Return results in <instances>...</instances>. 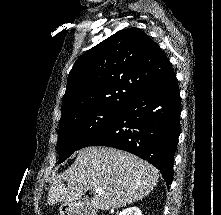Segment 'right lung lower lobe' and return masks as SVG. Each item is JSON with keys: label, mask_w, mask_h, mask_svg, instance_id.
Segmentation results:
<instances>
[{"label": "right lung lower lobe", "mask_w": 221, "mask_h": 215, "mask_svg": "<svg viewBox=\"0 0 221 215\" xmlns=\"http://www.w3.org/2000/svg\"><path fill=\"white\" fill-rule=\"evenodd\" d=\"M180 114V92L173 72L159 86L123 107L114 122L79 149L109 146L131 152L153 164L171 184Z\"/></svg>", "instance_id": "98d812e1"}]
</instances>
